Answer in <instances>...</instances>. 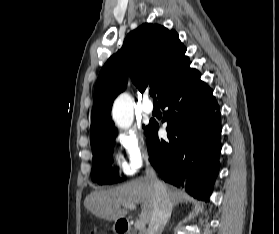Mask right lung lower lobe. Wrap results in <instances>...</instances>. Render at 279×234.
<instances>
[{"label":"right lung lower lobe","instance_id":"98d812e1","mask_svg":"<svg viewBox=\"0 0 279 234\" xmlns=\"http://www.w3.org/2000/svg\"><path fill=\"white\" fill-rule=\"evenodd\" d=\"M188 70L159 98L168 140L158 138L159 125L149 124L150 162L165 181L208 201L219 172L221 118L213 91Z\"/></svg>","mask_w":279,"mask_h":234}]
</instances>
